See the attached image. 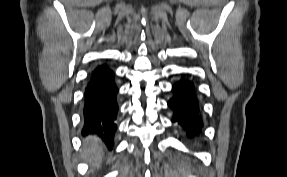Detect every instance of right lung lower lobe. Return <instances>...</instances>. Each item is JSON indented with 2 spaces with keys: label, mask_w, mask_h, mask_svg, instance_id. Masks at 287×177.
I'll list each match as a JSON object with an SVG mask.
<instances>
[{
  "label": "right lung lower lobe",
  "mask_w": 287,
  "mask_h": 177,
  "mask_svg": "<svg viewBox=\"0 0 287 177\" xmlns=\"http://www.w3.org/2000/svg\"><path fill=\"white\" fill-rule=\"evenodd\" d=\"M117 93L113 71L105 64L96 67L84 92L83 134H97L109 148L117 130Z\"/></svg>",
  "instance_id": "98d812e1"
}]
</instances>
